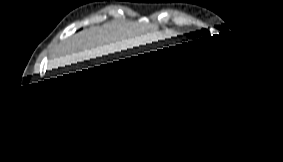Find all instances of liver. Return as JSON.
I'll use <instances>...</instances> for the list:
<instances>
[{"instance_id": "1", "label": "liver", "mask_w": 283, "mask_h": 162, "mask_svg": "<svg viewBox=\"0 0 283 162\" xmlns=\"http://www.w3.org/2000/svg\"><path fill=\"white\" fill-rule=\"evenodd\" d=\"M157 28L156 24L142 18L135 22L115 20L84 29L52 49L49 76L150 53L158 48L154 35Z\"/></svg>"}]
</instances>
